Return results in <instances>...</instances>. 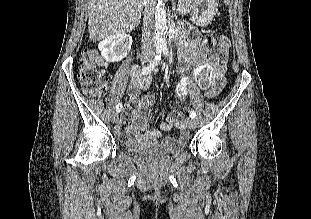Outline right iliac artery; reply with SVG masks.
Masks as SVG:
<instances>
[{"label": "right iliac artery", "mask_w": 311, "mask_h": 219, "mask_svg": "<svg viewBox=\"0 0 311 219\" xmlns=\"http://www.w3.org/2000/svg\"><path fill=\"white\" fill-rule=\"evenodd\" d=\"M161 56H162V50L161 49L156 50V55H155L154 60L142 69V74L145 75V74L150 73L156 67L158 62L161 60ZM121 109H122V104L119 103L116 106V111L120 112Z\"/></svg>", "instance_id": "right-iliac-artery-1"}]
</instances>
